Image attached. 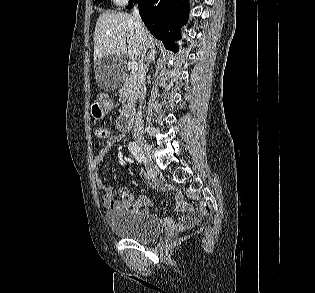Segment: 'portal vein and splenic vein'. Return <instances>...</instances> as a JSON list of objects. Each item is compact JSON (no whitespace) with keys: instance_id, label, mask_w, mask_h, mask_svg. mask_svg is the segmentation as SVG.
I'll return each instance as SVG.
<instances>
[{"instance_id":"obj_1","label":"portal vein and splenic vein","mask_w":315,"mask_h":293,"mask_svg":"<svg viewBox=\"0 0 315 293\" xmlns=\"http://www.w3.org/2000/svg\"><path fill=\"white\" fill-rule=\"evenodd\" d=\"M130 69L132 72H136L137 69H138V63L137 62H132L131 65H130Z\"/></svg>"}]
</instances>
